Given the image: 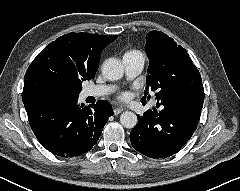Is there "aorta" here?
<instances>
[{
    "label": "aorta",
    "instance_id": "aorta-1",
    "mask_svg": "<svg viewBox=\"0 0 240 191\" xmlns=\"http://www.w3.org/2000/svg\"><path fill=\"white\" fill-rule=\"evenodd\" d=\"M102 74L107 80H119L123 77L124 66L118 59L109 58L102 65ZM137 121L136 114L131 111H126L120 116V122L125 128H134Z\"/></svg>",
    "mask_w": 240,
    "mask_h": 191
}]
</instances>
